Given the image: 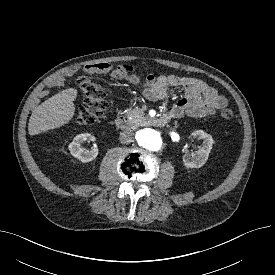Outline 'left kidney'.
<instances>
[{"instance_id":"1","label":"left kidney","mask_w":275,"mask_h":275,"mask_svg":"<svg viewBox=\"0 0 275 275\" xmlns=\"http://www.w3.org/2000/svg\"><path fill=\"white\" fill-rule=\"evenodd\" d=\"M193 137H198L203 140L202 145L195 153H185L183 156V165L187 169H194L202 167L208 160L209 153L212 149L214 140L210 134L203 130H197L192 133Z\"/></svg>"}]
</instances>
